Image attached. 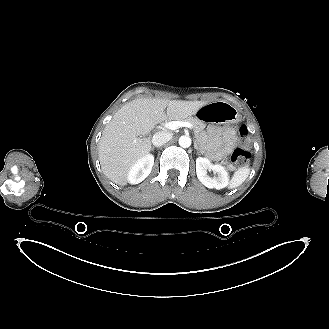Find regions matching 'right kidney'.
I'll return each mask as SVG.
<instances>
[{
  "label": "right kidney",
  "instance_id": "ca27d5eb",
  "mask_svg": "<svg viewBox=\"0 0 329 329\" xmlns=\"http://www.w3.org/2000/svg\"><path fill=\"white\" fill-rule=\"evenodd\" d=\"M154 164V156L147 154L139 159L129 170L127 180L131 184L142 182L151 172Z\"/></svg>",
  "mask_w": 329,
  "mask_h": 329
}]
</instances>
